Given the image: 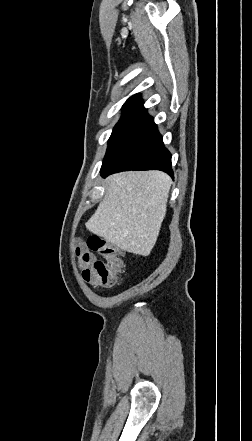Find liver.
I'll return each mask as SVG.
<instances>
[{"label":"liver","instance_id":"liver-1","mask_svg":"<svg viewBox=\"0 0 252 441\" xmlns=\"http://www.w3.org/2000/svg\"><path fill=\"white\" fill-rule=\"evenodd\" d=\"M171 178L161 171H129L106 179L105 195L87 229L120 249L148 256L166 215Z\"/></svg>","mask_w":252,"mask_h":441}]
</instances>
